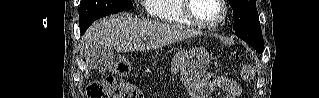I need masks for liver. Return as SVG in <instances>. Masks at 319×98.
Masks as SVG:
<instances>
[{
  "label": "liver",
  "mask_w": 319,
  "mask_h": 98,
  "mask_svg": "<svg viewBox=\"0 0 319 98\" xmlns=\"http://www.w3.org/2000/svg\"><path fill=\"white\" fill-rule=\"evenodd\" d=\"M199 32L181 25L151 22L128 13H119L94 22L82 37L87 69L93 68L91 57L98 49H114L117 52L152 50L171 42L192 38ZM150 42L143 43L141 38Z\"/></svg>",
  "instance_id": "6515ba94"
}]
</instances>
